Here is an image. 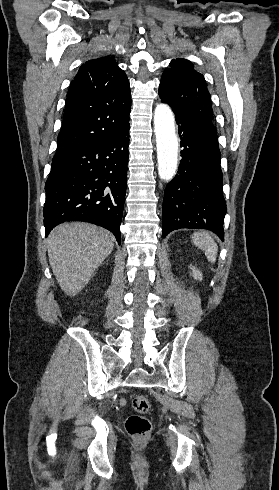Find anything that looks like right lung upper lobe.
<instances>
[{
  "mask_svg": "<svg viewBox=\"0 0 279 490\" xmlns=\"http://www.w3.org/2000/svg\"><path fill=\"white\" fill-rule=\"evenodd\" d=\"M129 81L114 58L83 64L70 84L53 160L98 143L129 126Z\"/></svg>",
  "mask_w": 279,
  "mask_h": 490,
  "instance_id": "cb5924a9",
  "label": "right lung upper lobe"
}]
</instances>
